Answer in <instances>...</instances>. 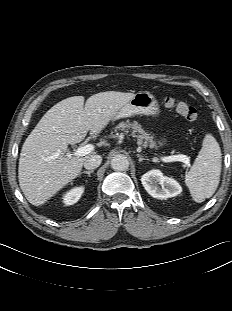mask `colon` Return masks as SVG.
Here are the masks:
<instances>
[{
	"mask_svg": "<svg viewBox=\"0 0 232 311\" xmlns=\"http://www.w3.org/2000/svg\"><path fill=\"white\" fill-rule=\"evenodd\" d=\"M162 103L166 108L175 110L182 118L189 122H193L198 118L197 109L187 102L166 97Z\"/></svg>",
	"mask_w": 232,
	"mask_h": 311,
	"instance_id": "obj_1",
	"label": "colon"
}]
</instances>
